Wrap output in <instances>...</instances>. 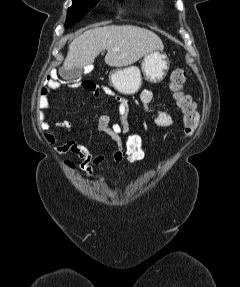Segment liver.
<instances>
[{
  "label": "liver",
  "mask_w": 240,
  "mask_h": 287,
  "mask_svg": "<svg viewBox=\"0 0 240 287\" xmlns=\"http://www.w3.org/2000/svg\"><path fill=\"white\" fill-rule=\"evenodd\" d=\"M162 40L154 32L133 25L104 26L89 29L70 44L63 70L88 66L103 50L105 63L111 67H125L155 50H163Z\"/></svg>",
  "instance_id": "obj_1"
}]
</instances>
